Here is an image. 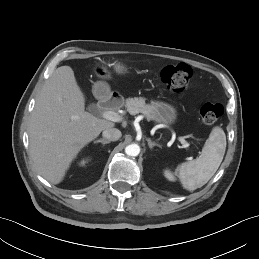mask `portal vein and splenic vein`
I'll use <instances>...</instances> for the list:
<instances>
[{"instance_id":"18ae733b","label":"portal vein and splenic vein","mask_w":259,"mask_h":259,"mask_svg":"<svg viewBox=\"0 0 259 259\" xmlns=\"http://www.w3.org/2000/svg\"><path fill=\"white\" fill-rule=\"evenodd\" d=\"M102 117L113 122L122 121V117L114 111H104L102 113ZM179 141L181 142L184 148L189 149V143L184 138L180 137Z\"/></svg>"}]
</instances>
